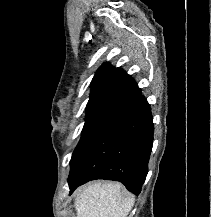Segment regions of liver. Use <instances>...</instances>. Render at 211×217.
<instances>
[{"instance_id":"liver-1","label":"liver","mask_w":211,"mask_h":217,"mask_svg":"<svg viewBox=\"0 0 211 217\" xmlns=\"http://www.w3.org/2000/svg\"><path fill=\"white\" fill-rule=\"evenodd\" d=\"M119 183L96 182L77 193V217H127L135 197L124 196Z\"/></svg>"}]
</instances>
